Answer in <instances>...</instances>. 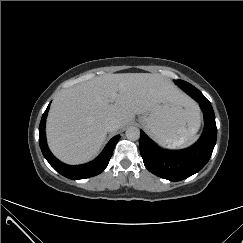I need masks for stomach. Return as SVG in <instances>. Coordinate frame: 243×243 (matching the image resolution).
Segmentation results:
<instances>
[{
	"label": "stomach",
	"mask_w": 243,
	"mask_h": 243,
	"mask_svg": "<svg viewBox=\"0 0 243 243\" xmlns=\"http://www.w3.org/2000/svg\"><path fill=\"white\" fill-rule=\"evenodd\" d=\"M139 122L163 146L187 141L200 126V115L194 102L176 104L161 102L139 117Z\"/></svg>",
	"instance_id": "obj_1"
}]
</instances>
